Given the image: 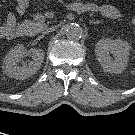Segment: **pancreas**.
<instances>
[{"label": "pancreas", "instance_id": "1", "mask_svg": "<svg viewBox=\"0 0 135 135\" xmlns=\"http://www.w3.org/2000/svg\"><path fill=\"white\" fill-rule=\"evenodd\" d=\"M44 21H45L44 17L40 16L38 20L25 21L24 23L21 24V27H23L29 35H34L45 29L46 24L44 23Z\"/></svg>", "mask_w": 135, "mask_h": 135}]
</instances>
